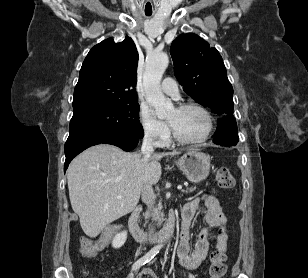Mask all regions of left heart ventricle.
<instances>
[{
	"mask_svg": "<svg viewBox=\"0 0 308 278\" xmlns=\"http://www.w3.org/2000/svg\"><path fill=\"white\" fill-rule=\"evenodd\" d=\"M167 120L181 136L186 138H199L207 129V120L202 112L197 109H172Z\"/></svg>",
	"mask_w": 308,
	"mask_h": 278,
	"instance_id": "1",
	"label": "left heart ventricle"
}]
</instances>
